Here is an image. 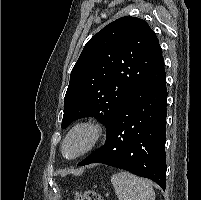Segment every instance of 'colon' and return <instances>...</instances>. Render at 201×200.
I'll use <instances>...</instances> for the list:
<instances>
[{"label":"colon","mask_w":201,"mask_h":200,"mask_svg":"<svg viewBox=\"0 0 201 200\" xmlns=\"http://www.w3.org/2000/svg\"><path fill=\"white\" fill-rule=\"evenodd\" d=\"M74 200H104V199L98 192L89 190L76 193Z\"/></svg>","instance_id":"colon-1"}]
</instances>
